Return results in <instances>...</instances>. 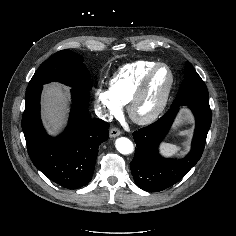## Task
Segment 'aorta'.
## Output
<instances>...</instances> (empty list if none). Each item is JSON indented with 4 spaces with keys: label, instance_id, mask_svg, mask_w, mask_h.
I'll return each mask as SVG.
<instances>
[{
    "label": "aorta",
    "instance_id": "aorta-1",
    "mask_svg": "<svg viewBox=\"0 0 236 236\" xmlns=\"http://www.w3.org/2000/svg\"><path fill=\"white\" fill-rule=\"evenodd\" d=\"M116 149L124 155L131 154L134 150L133 143L126 137H120L115 142Z\"/></svg>",
    "mask_w": 236,
    "mask_h": 236
}]
</instances>
